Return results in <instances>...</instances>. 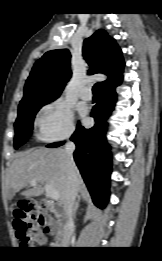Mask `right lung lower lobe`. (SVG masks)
Here are the masks:
<instances>
[{
	"label": "right lung lower lobe",
	"mask_w": 162,
	"mask_h": 261,
	"mask_svg": "<svg viewBox=\"0 0 162 261\" xmlns=\"http://www.w3.org/2000/svg\"><path fill=\"white\" fill-rule=\"evenodd\" d=\"M116 92L114 89L102 91L101 98L93 107L91 116L95 126L85 129L78 123L71 137L76 144L75 162L90 191L94 204L104 208L109 199V184L111 174L110 147L106 141L107 118L114 110ZM63 142L49 144L48 147H58Z\"/></svg>",
	"instance_id": "1"
}]
</instances>
